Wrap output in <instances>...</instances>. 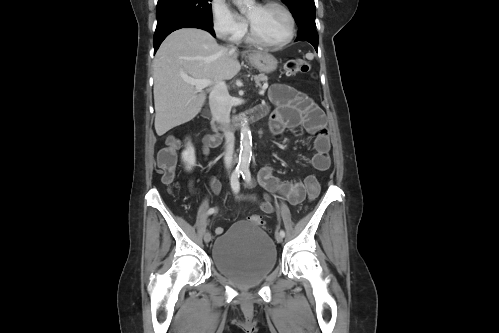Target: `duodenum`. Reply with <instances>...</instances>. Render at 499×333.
<instances>
[{
	"mask_svg": "<svg viewBox=\"0 0 499 333\" xmlns=\"http://www.w3.org/2000/svg\"><path fill=\"white\" fill-rule=\"evenodd\" d=\"M265 115V111L259 107L251 108L247 111L238 113L233 116L229 129L238 130L246 123H253L260 120ZM228 128H222L224 131Z\"/></svg>",
	"mask_w": 499,
	"mask_h": 333,
	"instance_id": "obj_1",
	"label": "duodenum"
}]
</instances>
